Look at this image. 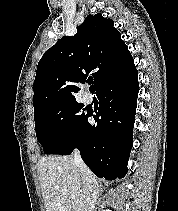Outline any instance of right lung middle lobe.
Here are the masks:
<instances>
[{
    "label": "right lung middle lobe",
    "mask_w": 178,
    "mask_h": 211,
    "mask_svg": "<svg viewBox=\"0 0 178 211\" xmlns=\"http://www.w3.org/2000/svg\"><path fill=\"white\" fill-rule=\"evenodd\" d=\"M86 108L76 100L49 105L34 114L37 139L45 154L69 142L84 125Z\"/></svg>",
    "instance_id": "right-lung-middle-lobe-1"
}]
</instances>
